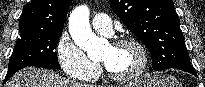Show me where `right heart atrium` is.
Listing matches in <instances>:
<instances>
[{
  "label": "right heart atrium",
  "mask_w": 205,
  "mask_h": 87,
  "mask_svg": "<svg viewBox=\"0 0 205 87\" xmlns=\"http://www.w3.org/2000/svg\"><path fill=\"white\" fill-rule=\"evenodd\" d=\"M55 53L62 70L71 78L90 80L100 71L98 64L86 55L67 32L58 38Z\"/></svg>",
  "instance_id": "obj_1"
}]
</instances>
